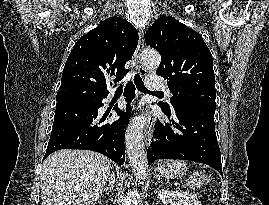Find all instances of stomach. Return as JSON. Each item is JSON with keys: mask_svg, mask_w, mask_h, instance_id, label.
Listing matches in <instances>:
<instances>
[{"mask_svg": "<svg viewBox=\"0 0 269 205\" xmlns=\"http://www.w3.org/2000/svg\"><path fill=\"white\" fill-rule=\"evenodd\" d=\"M156 170L163 177L179 179L186 175L187 166L183 161H165L160 163Z\"/></svg>", "mask_w": 269, "mask_h": 205, "instance_id": "1", "label": "stomach"}]
</instances>
